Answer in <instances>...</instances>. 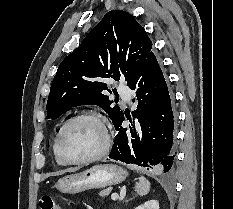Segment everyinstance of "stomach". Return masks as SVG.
Here are the masks:
<instances>
[{
  "label": "stomach",
  "instance_id": "obj_1",
  "mask_svg": "<svg viewBox=\"0 0 233 209\" xmlns=\"http://www.w3.org/2000/svg\"><path fill=\"white\" fill-rule=\"evenodd\" d=\"M127 175V171L117 165L100 164L60 178L55 187L60 192L74 194L117 185L123 182Z\"/></svg>",
  "mask_w": 233,
  "mask_h": 209
}]
</instances>
